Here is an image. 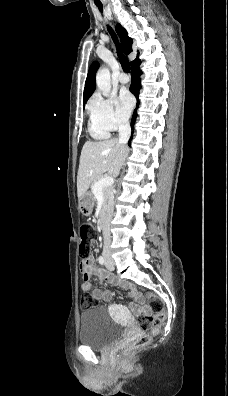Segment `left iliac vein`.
<instances>
[{
	"label": "left iliac vein",
	"mask_w": 228,
	"mask_h": 396,
	"mask_svg": "<svg viewBox=\"0 0 228 396\" xmlns=\"http://www.w3.org/2000/svg\"><path fill=\"white\" fill-rule=\"evenodd\" d=\"M106 267L108 270L113 271L114 270V266L113 264H111L109 261L106 262Z\"/></svg>",
	"instance_id": "obj_1"
}]
</instances>
